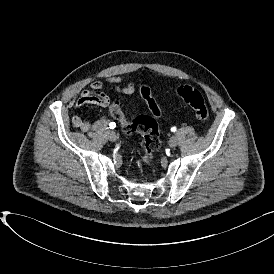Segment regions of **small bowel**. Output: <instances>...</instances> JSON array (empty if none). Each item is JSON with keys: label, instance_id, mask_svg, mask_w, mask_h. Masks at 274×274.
I'll return each mask as SVG.
<instances>
[{"label": "small bowel", "instance_id": "small-bowel-1", "mask_svg": "<svg viewBox=\"0 0 274 274\" xmlns=\"http://www.w3.org/2000/svg\"><path fill=\"white\" fill-rule=\"evenodd\" d=\"M123 79L120 76L112 75L105 78V81L95 80L89 84V88L83 90L75 101V106L80 108L86 104H95L102 107L110 105V97L105 92V85L120 94H130L134 91L132 83L121 85ZM72 124L74 127L80 129L83 132H87L91 127V121L87 118H83L76 115L72 118Z\"/></svg>", "mask_w": 274, "mask_h": 274}]
</instances>
